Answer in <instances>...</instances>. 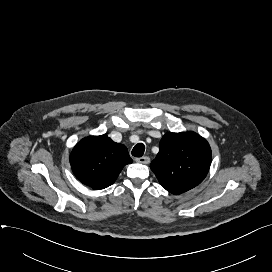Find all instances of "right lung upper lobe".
Returning a JSON list of instances; mask_svg holds the SVG:
<instances>
[{
	"label": "right lung upper lobe",
	"mask_w": 272,
	"mask_h": 272,
	"mask_svg": "<svg viewBox=\"0 0 272 272\" xmlns=\"http://www.w3.org/2000/svg\"><path fill=\"white\" fill-rule=\"evenodd\" d=\"M130 163L127 148L107 135L82 139L70 155L72 171L78 180L97 190L112 185L123 167Z\"/></svg>",
	"instance_id": "cb5924a9"
}]
</instances>
